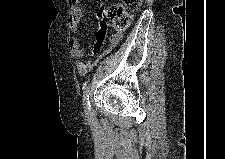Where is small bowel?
I'll use <instances>...</instances> for the list:
<instances>
[{
	"instance_id": "obj_1",
	"label": "small bowel",
	"mask_w": 225,
	"mask_h": 159,
	"mask_svg": "<svg viewBox=\"0 0 225 159\" xmlns=\"http://www.w3.org/2000/svg\"><path fill=\"white\" fill-rule=\"evenodd\" d=\"M82 14H83V9L80 5L72 6L70 17H69V28L71 31V36L68 40V48H69L70 52L76 59H78L75 62V68H76L78 75H80V76H84L92 70L93 66L95 65V63L97 61L98 52L101 49L103 42L105 40L106 34H107V29L102 28L100 26L98 29V32H97L96 42H95V44L93 46V50H92L93 59L92 60H82L81 58H83L85 51L83 48L80 47V44H79V41L77 38V35L79 32L78 26H79V22L81 20ZM115 39H116V41L113 44L112 42ZM119 39H120V37H116L115 35L112 36L111 44L115 45L119 41Z\"/></svg>"
}]
</instances>
